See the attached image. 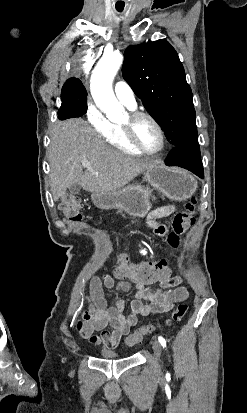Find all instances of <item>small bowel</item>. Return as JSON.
<instances>
[{"label": "small bowel", "mask_w": 247, "mask_h": 413, "mask_svg": "<svg viewBox=\"0 0 247 413\" xmlns=\"http://www.w3.org/2000/svg\"><path fill=\"white\" fill-rule=\"evenodd\" d=\"M175 209V205L155 208L147 217L148 225L157 234H164L166 227L160 220L170 216ZM114 280L108 274L92 280L90 293L86 297L87 308L82 311V318L72 324L83 339L92 344H103L107 348L118 346L122 337L137 325L139 317L166 313L190 297L189 291L180 286L179 276L161 277L160 282H155L160 283V288L156 289H139L138 282H124L123 274H116ZM103 287L118 293H134L129 313H126V302L122 299L117 300L113 306H108ZM144 301L147 303L144 304ZM96 331H101V335H94Z\"/></svg>", "instance_id": "1"}]
</instances>
